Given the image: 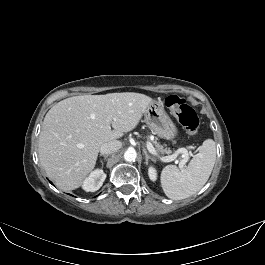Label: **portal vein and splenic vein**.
<instances>
[{
    "label": "portal vein and splenic vein",
    "instance_id": "obj_1",
    "mask_svg": "<svg viewBox=\"0 0 265 265\" xmlns=\"http://www.w3.org/2000/svg\"><path fill=\"white\" fill-rule=\"evenodd\" d=\"M146 147L151 154L157 155V152L151 142H147ZM179 153H183V159L179 162V168L184 170L185 163L188 161V151L185 148H180L175 154L161 157L160 159L163 162H171L177 158Z\"/></svg>",
    "mask_w": 265,
    "mask_h": 265
}]
</instances>
